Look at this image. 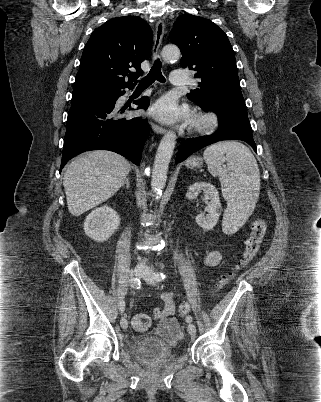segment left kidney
<instances>
[{
  "mask_svg": "<svg viewBox=\"0 0 321 402\" xmlns=\"http://www.w3.org/2000/svg\"><path fill=\"white\" fill-rule=\"evenodd\" d=\"M202 191L204 192L205 199L209 201L205 210L208 214L205 216V213H201L196 216L195 220L202 229L211 230L217 224L219 216L222 212L217 189L210 183L196 182L189 187L186 197L189 200H193L197 198L199 193Z\"/></svg>",
  "mask_w": 321,
  "mask_h": 402,
  "instance_id": "5707ae66",
  "label": "left kidney"
}]
</instances>
